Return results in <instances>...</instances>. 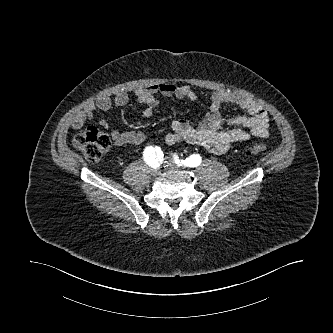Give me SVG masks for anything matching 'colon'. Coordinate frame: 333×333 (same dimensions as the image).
<instances>
[{"mask_svg": "<svg viewBox=\"0 0 333 333\" xmlns=\"http://www.w3.org/2000/svg\"><path fill=\"white\" fill-rule=\"evenodd\" d=\"M74 145L81 150L87 160L96 162L109 150L111 138L107 132L96 126H90L74 138ZM265 152L266 147L261 144H252L244 149L247 156H257Z\"/></svg>", "mask_w": 333, "mask_h": 333, "instance_id": "obj_1", "label": "colon"}]
</instances>
